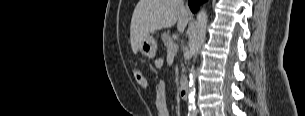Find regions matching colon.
I'll return each instance as SVG.
<instances>
[{"mask_svg": "<svg viewBox=\"0 0 305 116\" xmlns=\"http://www.w3.org/2000/svg\"><path fill=\"white\" fill-rule=\"evenodd\" d=\"M133 75H134V79H135V82L137 83V85L141 89L147 90L148 89V81L145 78V76L142 74V72L135 69L134 72H133Z\"/></svg>", "mask_w": 305, "mask_h": 116, "instance_id": "5ec220e1", "label": "colon"}]
</instances>
